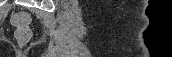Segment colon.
<instances>
[{
	"label": "colon",
	"mask_w": 172,
	"mask_h": 57,
	"mask_svg": "<svg viewBox=\"0 0 172 57\" xmlns=\"http://www.w3.org/2000/svg\"><path fill=\"white\" fill-rule=\"evenodd\" d=\"M13 25L17 28V39L21 44L30 39L29 23L30 17L26 13H16L13 17Z\"/></svg>",
	"instance_id": "1"
}]
</instances>
